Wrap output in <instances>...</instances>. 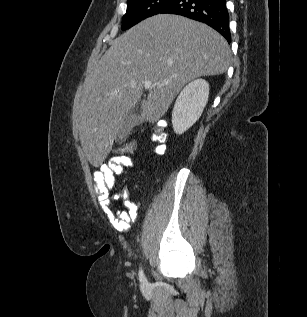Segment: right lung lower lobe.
I'll return each mask as SVG.
<instances>
[{
  "label": "right lung lower lobe",
  "instance_id": "1",
  "mask_svg": "<svg viewBox=\"0 0 307 317\" xmlns=\"http://www.w3.org/2000/svg\"><path fill=\"white\" fill-rule=\"evenodd\" d=\"M161 14L182 15L218 31L230 43L229 14L226 0H173Z\"/></svg>",
  "mask_w": 307,
  "mask_h": 317
}]
</instances>
